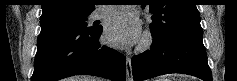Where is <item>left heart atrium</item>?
Listing matches in <instances>:
<instances>
[{
	"mask_svg": "<svg viewBox=\"0 0 237 81\" xmlns=\"http://www.w3.org/2000/svg\"><path fill=\"white\" fill-rule=\"evenodd\" d=\"M105 38L108 43L115 46H133L141 39L140 23L130 14L116 16L107 23Z\"/></svg>",
	"mask_w": 237,
	"mask_h": 81,
	"instance_id": "1",
	"label": "left heart atrium"
}]
</instances>
